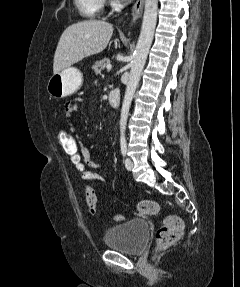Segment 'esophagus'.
I'll use <instances>...</instances> for the list:
<instances>
[{
  "instance_id": "esophagus-1",
  "label": "esophagus",
  "mask_w": 240,
  "mask_h": 287,
  "mask_svg": "<svg viewBox=\"0 0 240 287\" xmlns=\"http://www.w3.org/2000/svg\"><path fill=\"white\" fill-rule=\"evenodd\" d=\"M144 0H136L131 13V23H135L142 15Z\"/></svg>"
}]
</instances>
